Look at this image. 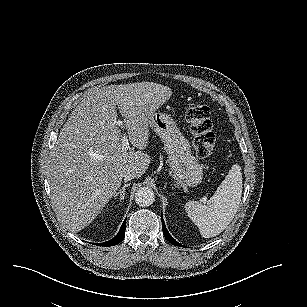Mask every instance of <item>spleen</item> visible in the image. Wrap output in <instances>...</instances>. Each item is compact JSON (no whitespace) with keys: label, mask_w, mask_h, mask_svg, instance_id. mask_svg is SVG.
Returning <instances> with one entry per match:
<instances>
[{"label":"spleen","mask_w":307,"mask_h":307,"mask_svg":"<svg viewBox=\"0 0 307 307\" xmlns=\"http://www.w3.org/2000/svg\"><path fill=\"white\" fill-rule=\"evenodd\" d=\"M242 186L241 167L235 164L207 204L193 200L185 204L188 217L202 237H215L231 223L241 202Z\"/></svg>","instance_id":"3e777b00"}]
</instances>
